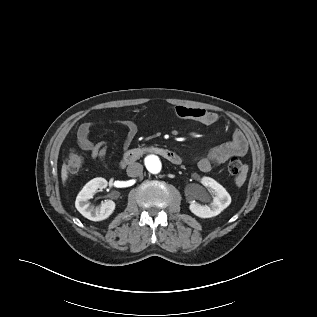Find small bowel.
Wrapping results in <instances>:
<instances>
[{"label":"small bowel","instance_id":"obj_1","mask_svg":"<svg viewBox=\"0 0 317 317\" xmlns=\"http://www.w3.org/2000/svg\"><path fill=\"white\" fill-rule=\"evenodd\" d=\"M174 112L179 118L192 119L204 125H212L218 120V115L215 112L199 107L179 105L175 107ZM120 125L126 129L125 145H128L137 135V125L130 120L121 121ZM91 128L89 123H84L79 127L77 143L81 149L90 153L94 161L105 165L107 143L104 141L93 142L90 139ZM247 151L248 141L246 136L241 130L235 129L230 142L211 149L206 156L198 160L197 166L200 171L209 172L214 165L222 164L233 157H242Z\"/></svg>","mask_w":317,"mask_h":317}]
</instances>
